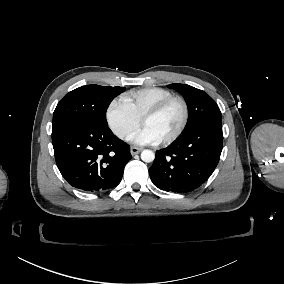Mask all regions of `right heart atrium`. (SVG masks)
Returning a JSON list of instances; mask_svg holds the SVG:
<instances>
[{
    "instance_id": "d8ad5b80",
    "label": "right heart atrium",
    "mask_w": 284,
    "mask_h": 284,
    "mask_svg": "<svg viewBox=\"0 0 284 284\" xmlns=\"http://www.w3.org/2000/svg\"><path fill=\"white\" fill-rule=\"evenodd\" d=\"M105 121L108 129L116 138L126 141L138 127L140 118L116 98L106 107Z\"/></svg>"
}]
</instances>
